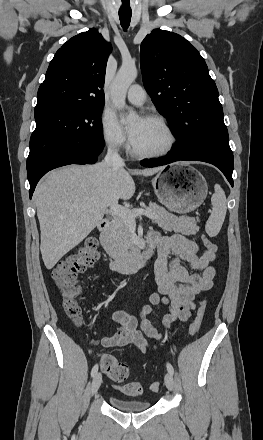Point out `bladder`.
I'll use <instances>...</instances> for the list:
<instances>
[{"instance_id": "bladder-1", "label": "bladder", "mask_w": 263, "mask_h": 440, "mask_svg": "<svg viewBox=\"0 0 263 440\" xmlns=\"http://www.w3.org/2000/svg\"><path fill=\"white\" fill-rule=\"evenodd\" d=\"M111 404L119 410L137 412L147 410L151 407V403L149 401H145L142 399H128L122 398L118 396H110Z\"/></svg>"}]
</instances>
